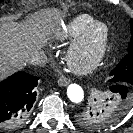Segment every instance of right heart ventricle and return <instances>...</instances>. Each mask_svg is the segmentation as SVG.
<instances>
[{
  "mask_svg": "<svg viewBox=\"0 0 133 133\" xmlns=\"http://www.w3.org/2000/svg\"><path fill=\"white\" fill-rule=\"evenodd\" d=\"M93 21H95V18L91 15L78 14L63 25L55 37L59 42L69 44L77 39Z\"/></svg>",
  "mask_w": 133,
  "mask_h": 133,
  "instance_id": "1",
  "label": "right heart ventricle"
}]
</instances>
